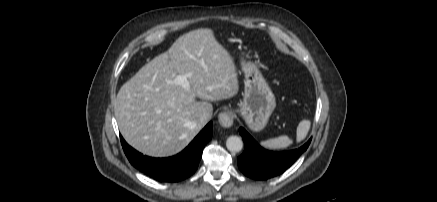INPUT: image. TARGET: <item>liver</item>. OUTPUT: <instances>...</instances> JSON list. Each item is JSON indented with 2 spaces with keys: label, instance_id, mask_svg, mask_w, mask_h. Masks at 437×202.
Listing matches in <instances>:
<instances>
[{
  "label": "liver",
  "instance_id": "obj_1",
  "mask_svg": "<svg viewBox=\"0 0 437 202\" xmlns=\"http://www.w3.org/2000/svg\"><path fill=\"white\" fill-rule=\"evenodd\" d=\"M177 74L187 75L189 89L174 84ZM238 89L229 52L212 30L197 29L180 36L123 84L115 117L129 145L148 156L168 157L200 132L201 114L212 116L210 101L231 98Z\"/></svg>",
  "mask_w": 437,
  "mask_h": 202
}]
</instances>
